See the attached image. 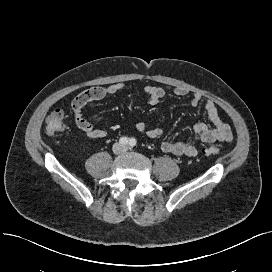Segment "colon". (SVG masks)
Masks as SVG:
<instances>
[{
	"mask_svg": "<svg viewBox=\"0 0 272 272\" xmlns=\"http://www.w3.org/2000/svg\"><path fill=\"white\" fill-rule=\"evenodd\" d=\"M65 113L61 109L53 111L46 119L45 131L48 135H56L65 128ZM205 155H215L219 153V149L215 146H207L202 148Z\"/></svg>",
	"mask_w": 272,
	"mask_h": 272,
	"instance_id": "colon-1",
	"label": "colon"
}]
</instances>
